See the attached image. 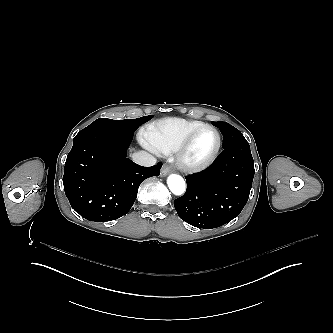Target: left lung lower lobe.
Segmentation results:
<instances>
[{
	"label": "left lung lower lobe",
	"instance_id": "left-lung-lower-lobe-1",
	"mask_svg": "<svg viewBox=\"0 0 333 333\" xmlns=\"http://www.w3.org/2000/svg\"><path fill=\"white\" fill-rule=\"evenodd\" d=\"M254 161L247 141L225 148L207 169L186 176V193L174 201L179 217L203 229L237 217L248 201Z\"/></svg>",
	"mask_w": 333,
	"mask_h": 333
}]
</instances>
